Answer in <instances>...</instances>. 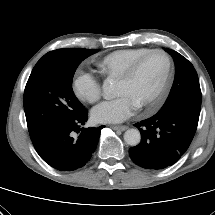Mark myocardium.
<instances>
[{
    "label": "myocardium",
    "instance_id": "1",
    "mask_svg": "<svg viewBox=\"0 0 215 215\" xmlns=\"http://www.w3.org/2000/svg\"><path fill=\"white\" fill-rule=\"evenodd\" d=\"M152 54H162L166 58L167 70H166L164 79H163L160 87L158 88V90L155 92V94L148 101L138 105L139 108H151V107H153L158 102V100L161 98L163 93L165 92V90L168 86V83L170 81L172 69H173V61H172V58L169 55V53L163 49H150L147 52L140 55L139 57H137L135 60H133L128 65V67L124 70V72L118 77V80H120V81L129 80L135 74L136 70L138 69V67L142 63V61L146 57H148L149 55H152Z\"/></svg>",
    "mask_w": 215,
    "mask_h": 215
}]
</instances>
